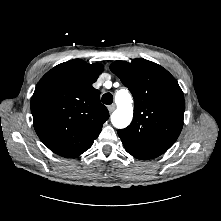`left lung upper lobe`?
Here are the masks:
<instances>
[{"mask_svg":"<svg viewBox=\"0 0 221 221\" xmlns=\"http://www.w3.org/2000/svg\"><path fill=\"white\" fill-rule=\"evenodd\" d=\"M134 98L131 124L118 135L126 151L138 159H152L177 140L184 117V95L177 80L163 67L136 58L110 65Z\"/></svg>","mask_w":221,"mask_h":221,"instance_id":"5c2ea615","label":"left lung upper lobe"}]
</instances>
